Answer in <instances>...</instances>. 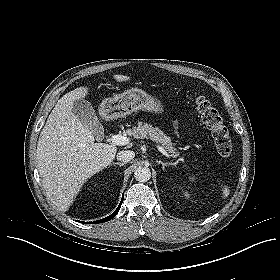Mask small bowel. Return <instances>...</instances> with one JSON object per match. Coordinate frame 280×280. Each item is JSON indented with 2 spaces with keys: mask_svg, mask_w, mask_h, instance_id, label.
<instances>
[{
  "mask_svg": "<svg viewBox=\"0 0 280 280\" xmlns=\"http://www.w3.org/2000/svg\"><path fill=\"white\" fill-rule=\"evenodd\" d=\"M174 126L176 127V126H177V123H174Z\"/></svg>",
  "mask_w": 280,
  "mask_h": 280,
  "instance_id": "1",
  "label": "small bowel"
}]
</instances>
